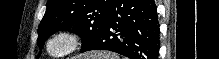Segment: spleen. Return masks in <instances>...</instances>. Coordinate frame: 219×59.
<instances>
[{
    "label": "spleen",
    "instance_id": "3e777b00",
    "mask_svg": "<svg viewBox=\"0 0 219 59\" xmlns=\"http://www.w3.org/2000/svg\"><path fill=\"white\" fill-rule=\"evenodd\" d=\"M107 57H108V56H104V58H106V59H107Z\"/></svg>",
    "mask_w": 219,
    "mask_h": 59
}]
</instances>
